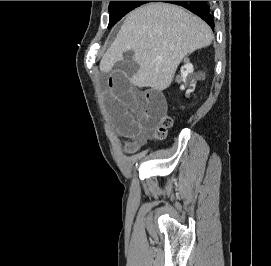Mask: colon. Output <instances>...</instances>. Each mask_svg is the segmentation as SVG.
<instances>
[{
	"instance_id": "colon-1",
	"label": "colon",
	"mask_w": 271,
	"mask_h": 266,
	"mask_svg": "<svg viewBox=\"0 0 271 266\" xmlns=\"http://www.w3.org/2000/svg\"><path fill=\"white\" fill-rule=\"evenodd\" d=\"M171 124H172L171 119L169 117H164L157 128L156 135L160 138L165 137L166 132L168 128L171 126Z\"/></svg>"
}]
</instances>
